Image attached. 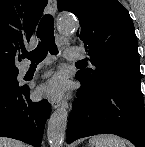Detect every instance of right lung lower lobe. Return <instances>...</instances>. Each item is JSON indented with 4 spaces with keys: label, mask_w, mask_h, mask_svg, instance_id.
Listing matches in <instances>:
<instances>
[{
    "label": "right lung lower lobe",
    "mask_w": 145,
    "mask_h": 147,
    "mask_svg": "<svg viewBox=\"0 0 145 147\" xmlns=\"http://www.w3.org/2000/svg\"><path fill=\"white\" fill-rule=\"evenodd\" d=\"M49 116L48 101L32 102L29 87L0 89V137L14 138L40 147Z\"/></svg>",
    "instance_id": "1"
}]
</instances>
